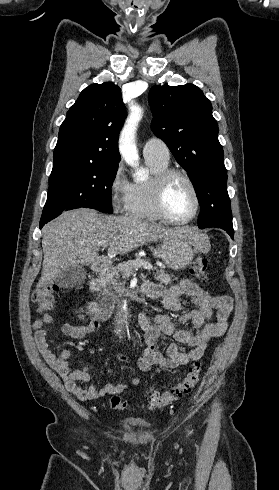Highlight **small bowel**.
<instances>
[{
  "label": "small bowel",
  "instance_id": "c3829d8e",
  "mask_svg": "<svg viewBox=\"0 0 279 490\" xmlns=\"http://www.w3.org/2000/svg\"><path fill=\"white\" fill-rule=\"evenodd\" d=\"M142 292L147 296L159 300L162 306L171 312L178 313L176 317L168 314H148L140 313L137 321L142 331L145 342L143 356L139 366L142 370L148 371L153 367L174 368L184 365L189 361H194L202 357L209 341L214 338L223 337L229 326V316L233 310L232 299L228 296H215L207 290L199 287L189 279H182L179 283L165 287L157 284H146L142 287ZM189 297L196 308L185 310L182 297ZM215 314V321L209 322ZM190 321L192 329L179 328V324ZM54 318L50 314H44L32 323L34 339L44 360L62 378L66 389L79 399L98 400L108 394H119L123 392L128 384L108 383L101 389L91 383L92 375L87 367L70 371L67 360L72 357L69 348L62 347L57 354L51 347L45 329L46 325H51ZM100 327L99 320H91L86 324L74 325L65 323L61 325L64 335L75 340H84L90 335L95 334ZM173 335L176 343L168 346L166 355H162L156 349V340L160 335ZM179 344L191 348L189 352H183ZM118 359L128 365V360L123 355H118ZM112 373V369H108ZM79 382L91 383L87 387H82ZM138 378L130 380L129 385H137Z\"/></svg>",
  "mask_w": 279,
  "mask_h": 490
}]
</instances>
